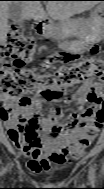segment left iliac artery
I'll use <instances>...</instances> for the list:
<instances>
[{
    "mask_svg": "<svg viewBox=\"0 0 104 189\" xmlns=\"http://www.w3.org/2000/svg\"><path fill=\"white\" fill-rule=\"evenodd\" d=\"M89 179H90V183L94 184L95 183V170L93 168V166H90L89 168Z\"/></svg>",
    "mask_w": 104,
    "mask_h": 189,
    "instance_id": "left-iliac-artery-1",
    "label": "left iliac artery"
}]
</instances>
